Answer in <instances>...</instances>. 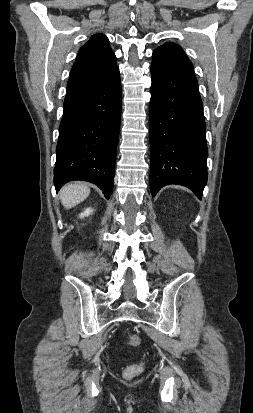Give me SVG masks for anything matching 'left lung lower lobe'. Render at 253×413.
<instances>
[{
	"mask_svg": "<svg viewBox=\"0 0 253 413\" xmlns=\"http://www.w3.org/2000/svg\"><path fill=\"white\" fill-rule=\"evenodd\" d=\"M149 105L150 190L190 188L201 199L207 183L206 125L194 70L171 52L152 54Z\"/></svg>",
	"mask_w": 253,
	"mask_h": 413,
	"instance_id": "0a47b994",
	"label": "left lung lower lobe"
}]
</instances>
